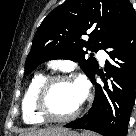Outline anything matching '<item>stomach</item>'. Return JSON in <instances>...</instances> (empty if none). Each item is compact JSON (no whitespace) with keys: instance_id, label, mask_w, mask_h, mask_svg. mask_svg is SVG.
Instances as JSON below:
<instances>
[{"instance_id":"0dacf381","label":"stomach","mask_w":136,"mask_h":136,"mask_svg":"<svg viewBox=\"0 0 136 136\" xmlns=\"http://www.w3.org/2000/svg\"><path fill=\"white\" fill-rule=\"evenodd\" d=\"M55 136H81V135L75 131L66 130L56 134Z\"/></svg>"}]
</instances>
